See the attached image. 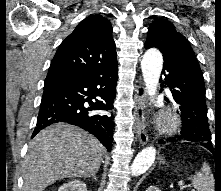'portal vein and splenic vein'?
Here are the masks:
<instances>
[{"label": "portal vein and splenic vein", "mask_w": 221, "mask_h": 191, "mask_svg": "<svg viewBox=\"0 0 221 191\" xmlns=\"http://www.w3.org/2000/svg\"><path fill=\"white\" fill-rule=\"evenodd\" d=\"M177 184L181 189H185V188L190 187L189 185L185 184L183 181H179Z\"/></svg>", "instance_id": "18ae733b"}]
</instances>
